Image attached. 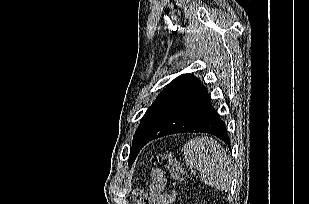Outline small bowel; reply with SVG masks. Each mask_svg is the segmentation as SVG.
I'll list each match as a JSON object with an SVG mask.
<instances>
[{
    "label": "small bowel",
    "instance_id": "1",
    "mask_svg": "<svg viewBox=\"0 0 309 204\" xmlns=\"http://www.w3.org/2000/svg\"><path fill=\"white\" fill-rule=\"evenodd\" d=\"M150 175L152 183L149 194L147 195L142 191H138L136 192V198L142 196L147 199L148 204H173L176 199V193L174 191L165 192L167 179L164 172L159 168H153L150 171Z\"/></svg>",
    "mask_w": 309,
    "mask_h": 204
}]
</instances>
